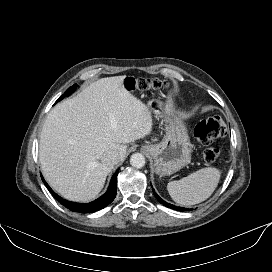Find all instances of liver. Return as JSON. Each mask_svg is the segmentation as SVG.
I'll use <instances>...</instances> for the list:
<instances>
[{"label":"liver","instance_id":"1","mask_svg":"<svg viewBox=\"0 0 272 272\" xmlns=\"http://www.w3.org/2000/svg\"><path fill=\"white\" fill-rule=\"evenodd\" d=\"M126 76L99 79L57 104L40 135L39 161L46 181L61 196L88 202L102 190L114 166L108 151L124 160L125 144L152 132V112L124 88Z\"/></svg>","mask_w":272,"mask_h":272}]
</instances>
